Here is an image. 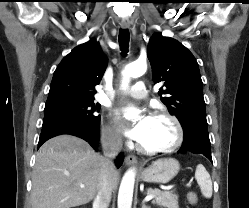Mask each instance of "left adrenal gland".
I'll list each match as a JSON object with an SVG mask.
<instances>
[{"label":"left adrenal gland","instance_id":"a2214340","mask_svg":"<svg viewBox=\"0 0 249 208\" xmlns=\"http://www.w3.org/2000/svg\"><path fill=\"white\" fill-rule=\"evenodd\" d=\"M141 208H151L150 206L145 204V201L143 200L141 203Z\"/></svg>","mask_w":249,"mask_h":208}]
</instances>
